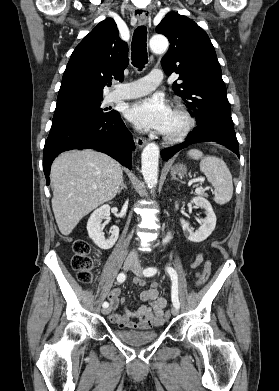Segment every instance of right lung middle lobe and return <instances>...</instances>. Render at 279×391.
Listing matches in <instances>:
<instances>
[{
    "instance_id": "dd1d6c3e",
    "label": "right lung middle lobe",
    "mask_w": 279,
    "mask_h": 391,
    "mask_svg": "<svg viewBox=\"0 0 279 391\" xmlns=\"http://www.w3.org/2000/svg\"><path fill=\"white\" fill-rule=\"evenodd\" d=\"M101 100L77 103L56 109L52 123L60 121L99 120L110 116L115 111L101 108Z\"/></svg>"
}]
</instances>
